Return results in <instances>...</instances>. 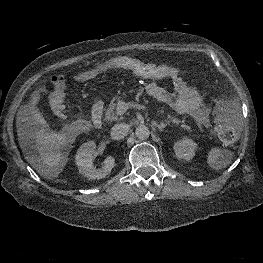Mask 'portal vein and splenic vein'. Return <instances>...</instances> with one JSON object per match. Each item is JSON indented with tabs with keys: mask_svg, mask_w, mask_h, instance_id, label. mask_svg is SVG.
<instances>
[{
	"mask_svg": "<svg viewBox=\"0 0 263 263\" xmlns=\"http://www.w3.org/2000/svg\"><path fill=\"white\" fill-rule=\"evenodd\" d=\"M138 108L144 109V106L134 104V103H126L125 101H119L117 104L116 112L118 115H123L129 108Z\"/></svg>",
	"mask_w": 263,
	"mask_h": 263,
	"instance_id": "1",
	"label": "portal vein and splenic vein"
}]
</instances>
